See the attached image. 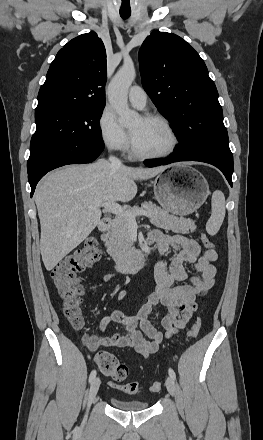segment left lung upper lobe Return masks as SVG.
I'll list each match as a JSON object with an SVG mask.
<instances>
[{
    "label": "left lung upper lobe",
    "instance_id": "5c2ea615",
    "mask_svg": "<svg viewBox=\"0 0 263 440\" xmlns=\"http://www.w3.org/2000/svg\"><path fill=\"white\" fill-rule=\"evenodd\" d=\"M139 63L144 89L180 140L177 152L196 157L229 148L216 86L185 40L154 31L140 48Z\"/></svg>",
    "mask_w": 263,
    "mask_h": 440
}]
</instances>
